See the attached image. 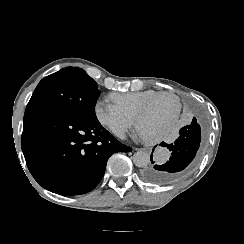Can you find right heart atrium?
<instances>
[{"label":"right heart atrium","instance_id":"right-heart-atrium-1","mask_svg":"<svg viewBox=\"0 0 244 244\" xmlns=\"http://www.w3.org/2000/svg\"><path fill=\"white\" fill-rule=\"evenodd\" d=\"M95 114L117 137L123 138L132 129H140L145 136L150 137V131L140 127L139 119L134 112L108 99L97 101Z\"/></svg>","mask_w":244,"mask_h":244}]
</instances>
